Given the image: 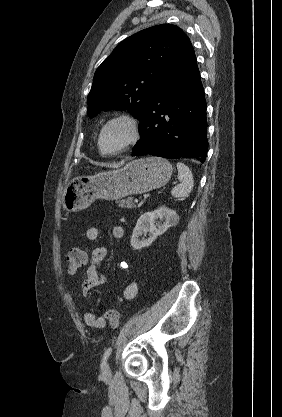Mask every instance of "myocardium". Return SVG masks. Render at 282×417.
<instances>
[{
  "mask_svg": "<svg viewBox=\"0 0 282 417\" xmlns=\"http://www.w3.org/2000/svg\"><path fill=\"white\" fill-rule=\"evenodd\" d=\"M115 127H121L125 130V133H126L125 138L114 149L110 151H106L102 145L103 137L109 130ZM138 137H139V129H138L137 121L129 115H119L109 120L107 124L102 128L100 135H99L98 145L102 154L104 155L116 154L120 152L121 150H123L124 148L133 144L138 139Z\"/></svg>",
  "mask_w": 282,
  "mask_h": 417,
  "instance_id": "myocardium-1",
  "label": "myocardium"
}]
</instances>
